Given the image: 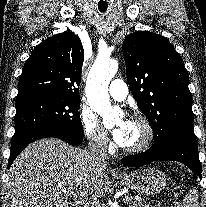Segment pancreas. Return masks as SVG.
Masks as SVG:
<instances>
[{"instance_id": "pancreas-1", "label": "pancreas", "mask_w": 206, "mask_h": 207, "mask_svg": "<svg viewBox=\"0 0 206 207\" xmlns=\"http://www.w3.org/2000/svg\"><path fill=\"white\" fill-rule=\"evenodd\" d=\"M93 207H102V206H93ZM131 207H149V205L144 202H132Z\"/></svg>"}]
</instances>
